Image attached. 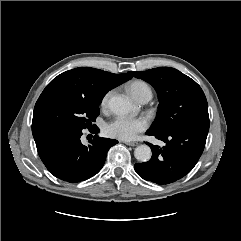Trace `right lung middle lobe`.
<instances>
[{"mask_svg":"<svg viewBox=\"0 0 241 241\" xmlns=\"http://www.w3.org/2000/svg\"><path fill=\"white\" fill-rule=\"evenodd\" d=\"M103 96H83L65 89L43 91L34 107L32 131L52 126L86 129L100 114Z\"/></svg>","mask_w":241,"mask_h":241,"instance_id":"right-lung-middle-lobe-1","label":"right lung middle lobe"}]
</instances>
